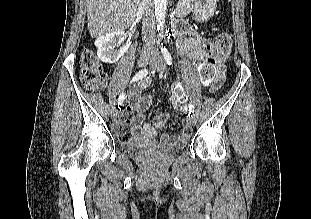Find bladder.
I'll use <instances>...</instances> for the list:
<instances>
[{"instance_id": "31cf9c89", "label": "bladder", "mask_w": 311, "mask_h": 219, "mask_svg": "<svg viewBox=\"0 0 311 219\" xmlns=\"http://www.w3.org/2000/svg\"><path fill=\"white\" fill-rule=\"evenodd\" d=\"M184 147V143H178L174 146V149H181Z\"/></svg>"}]
</instances>
